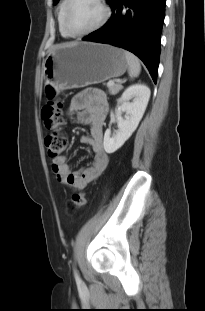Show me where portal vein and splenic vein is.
Listing matches in <instances>:
<instances>
[{"mask_svg": "<svg viewBox=\"0 0 205 311\" xmlns=\"http://www.w3.org/2000/svg\"><path fill=\"white\" fill-rule=\"evenodd\" d=\"M109 85H114V81H109Z\"/></svg>", "mask_w": 205, "mask_h": 311, "instance_id": "obj_1", "label": "portal vein and splenic vein"}]
</instances>
